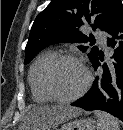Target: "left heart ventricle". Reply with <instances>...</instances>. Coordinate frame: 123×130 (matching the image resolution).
<instances>
[{"label":"left heart ventricle","instance_id":"1","mask_svg":"<svg viewBox=\"0 0 123 130\" xmlns=\"http://www.w3.org/2000/svg\"><path fill=\"white\" fill-rule=\"evenodd\" d=\"M86 74L83 68L74 61L61 62L53 76L57 91L63 96L75 94L84 84Z\"/></svg>","mask_w":123,"mask_h":130}]
</instances>
